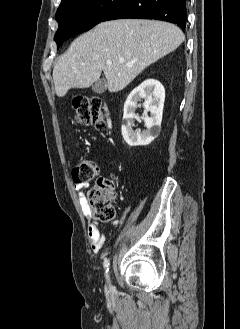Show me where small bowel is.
I'll return each instance as SVG.
<instances>
[{
	"label": "small bowel",
	"instance_id": "small-bowel-1",
	"mask_svg": "<svg viewBox=\"0 0 240 329\" xmlns=\"http://www.w3.org/2000/svg\"><path fill=\"white\" fill-rule=\"evenodd\" d=\"M86 187L87 184H74V190L79 196L80 205L85 215L88 217L87 234L91 243L92 250L98 252L102 248L105 237L100 232L98 224L90 218V210L87 206L86 198L83 193Z\"/></svg>",
	"mask_w": 240,
	"mask_h": 329
}]
</instances>
